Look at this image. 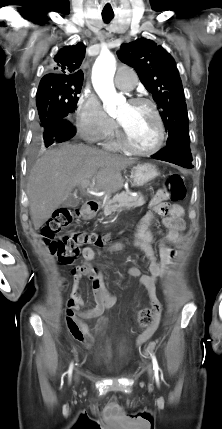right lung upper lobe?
<instances>
[{
    "label": "right lung upper lobe",
    "instance_id": "obj_1",
    "mask_svg": "<svg viewBox=\"0 0 222 429\" xmlns=\"http://www.w3.org/2000/svg\"><path fill=\"white\" fill-rule=\"evenodd\" d=\"M86 46L82 43L63 47L52 62L53 73L45 75L40 82L66 81L83 82V72L79 70L85 56Z\"/></svg>",
    "mask_w": 222,
    "mask_h": 429
}]
</instances>
